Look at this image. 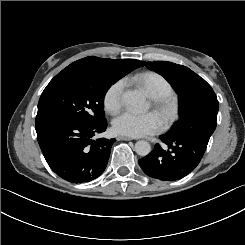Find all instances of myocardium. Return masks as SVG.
Listing matches in <instances>:
<instances>
[{
  "label": "myocardium",
  "instance_id": "obj_1",
  "mask_svg": "<svg viewBox=\"0 0 245 245\" xmlns=\"http://www.w3.org/2000/svg\"><path fill=\"white\" fill-rule=\"evenodd\" d=\"M153 106L164 126H169L178 117L179 103L174 95H160L153 98Z\"/></svg>",
  "mask_w": 245,
  "mask_h": 245
}]
</instances>
